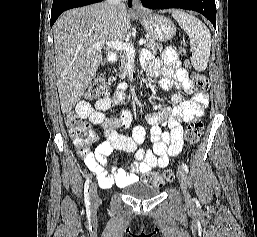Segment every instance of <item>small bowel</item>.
Wrapping results in <instances>:
<instances>
[{"label":"small bowel","instance_id":"c3829d8e","mask_svg":"<svg viewBox=\"0 0 257 237\" xmlns=\"http://www.w3.org/2000/svg\"><path fill=\"white\" fill-rule=\"evenodd\" d=\"M144 66L151 75L160 78L163 89L168 90L174 86L178 90L171 97L172 105H155L156 112L146 116L150 125L152 150L141 147L146 137L143 126H136L131 136L119 133V130H125L130 125L131 113L127 109H122L114 117L105 114L111 107L125 102V84H121L112 97H105L94 106L83 100L76 105L77 114L81 118L88 119L104 131V138L93 147L76 141L79 155L103 188L124 187L136 181L139 175L155 168H165L169 160L182 151L184 124L200 118L209 103L206 93L192 91L188 74L180 67L174 50L165 49L161 59L146 62ZM181 91L191 94L192 98L185 100ZM90 136L93 137L92 134ZM115 150L132 153L135 162L127 168L115 167L107 159Z\"/></svg>","mask_w":257,"mask_h":237}]
</instances>
